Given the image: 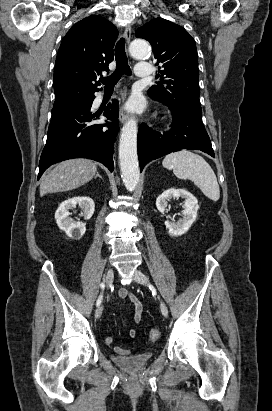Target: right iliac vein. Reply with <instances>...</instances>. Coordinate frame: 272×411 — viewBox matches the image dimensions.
Wrapping results in <instances>:
<instances>
[{"mask_svg":"<svg viewBox=\"0 0 272 411\" xmlns=\"http://www.w3.org/2000/svg\"><path fill=\"white\" fill-rule=\"evenodd\" d=\"M113 279H114V272H113V270H112L111 268H109V269L106 271V274H105V277H104V280H105V282H106V284H107L108 287H110V286L112 285ZM102 310H103L102 306H99V307L96 309V311H95V317H96L97 319H99V318L101 317V315H102Z\"/></svg>","mask_w":272,"mask_h":411,"instance_id":"right-iliac-vein-1","label":"right iliac vein"}]
</instances>
